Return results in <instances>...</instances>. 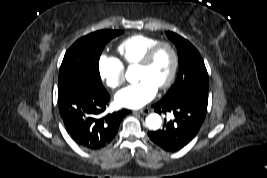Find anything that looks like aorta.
Instances as JSON below:
<instances>
[{"label": "aorta", "instance_id": "1", "mask_svg": "<svg viewBox=\"0 0 267 178\" xmlns=\"http://www.w3.org/2000/svg\"><path fill=\"white\" fill-rule=\"evenodd\" d=\"M127 78L131 81L130 72L127 73ZM162 119L160 115L156 113L149 114L146 118V126L151 130H157L160 128Z\"/></svg>", "mask_w": 267, "mask_h": 178}]
</instances>
